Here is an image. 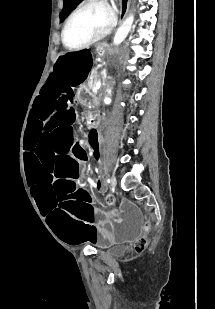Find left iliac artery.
Segmentation results:
<instances>
[{"label":"left iliac artery","mask_w":215,"mask_h":309,"mask_svg":"<svg viewBox=\"0 0 215 309\" xmlns=\"http://www.w3.org/2000/svg\"><path fill=\"white\" fill-rule=\"evenodd\" d=\"M106 182H107V183H110V179H109V178H107Z\"/></svg>","instance_id":"left-iliac-artery-1"}]
</instances>
